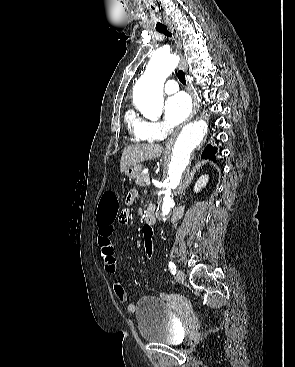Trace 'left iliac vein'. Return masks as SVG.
Masks as SVG:
<instances>
[{
  "mask_svg": "<svg viewBox=\"0 0 295 367\" xmlns=\"http://www.w3.org/2000/svg\"><path fill=\"white\" fill-rule=\"evenodd\" d=\"M175 278H176L177 281L183 282L185 280V274H184V272L181 271V270H178L176 272V274H175Z\"/></svg>",
  "mask_w": 295,
  "mask_h": 367,
  "instance_id": "left-iliac-vein-1",
  "label": "left iliac vein"
}]
</instances>
